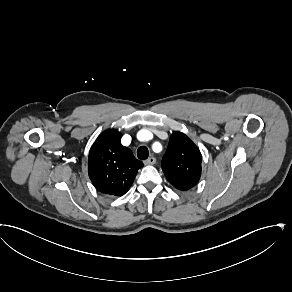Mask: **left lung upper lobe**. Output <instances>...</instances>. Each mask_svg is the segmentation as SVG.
<instances>
[{
	"mask_svg": "<svg viewBox=\"0 0 292 292\" xmlns=\"http://www.w3.org/2000/svg\"><path fill=\"white\" fill-rule=\"evenodd\" d=\"M201 153L191 139L181 132H174L162 159V170L167 180L178 190L194 187L201 176Z\"/></svg>",
	"mask_w": 292,
	"mask_h": 292,
	"instance_id": "obj_1",
	"label": "left lung upper lobe"
}]
</instances>
